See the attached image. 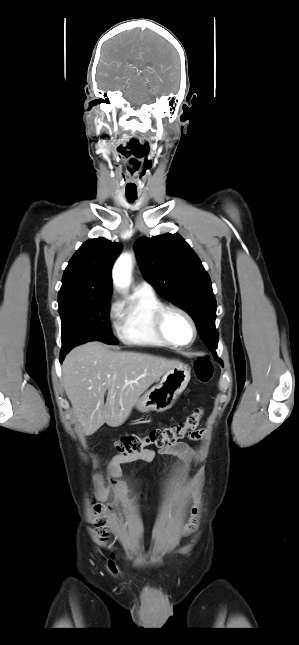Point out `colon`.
I'll return each mask as SVG.
<instances>
[{
  "instance_id": "obj_1",
  "label": "colon",
  "mask_w": 299,
  "mask_h": 645,
  "mask_svg": "<svg viewBox=\"0 0 299 645\" xmlns=\"http://www.w3.org/2000/svg\"><path fill=\"white\" fill-rule=\"evenodd\" d=\"M213 365L208 356H200L194 363V374L198 381L208 383L213 376ZM203 409L194 408L183 419L150 430L146 435H127L120 438L115 446L120 458L141 453L147 447L163 448L176 443L196 429L203 417ZM109 517L100 505L95 507V530L98 540L106 543L109 537Z\"/></svg>"
}]
</instances>
